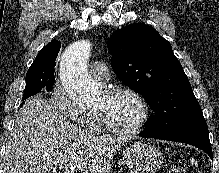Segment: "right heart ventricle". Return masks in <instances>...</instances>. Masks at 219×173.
<instances>
[{
	"mask_svg": "<svg viewBox=\"0 0 219 173\" xmlns=\"http://www.w3.org/2000/svg\"><path fill=\"white\" fill-rule=\"evenodd\" d=\"M90 125L88 127L92 129H98L99 128V120L97 118V115L95 113H90Z\"/></svg>",
	"mask_w": 219,
	"mask_h": 173,
	"instance_id": "e07e8e85",
	"label": "right heart ventricle"
}]
</instances>
